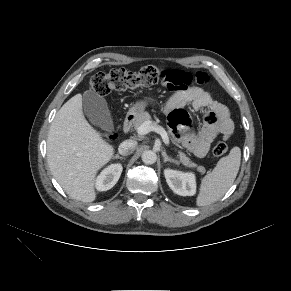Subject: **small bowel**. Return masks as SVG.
<instances>
[{"label":"small bowel","mask_w":291,"mask_h":291,"mask_svg":"<svg viewBox=\"0 0 291 291\" xmlns=\"http://www.w3.org/2000/svg\"><path fill=\"white\" fill-rule=\"evenodd\" d=\"M171 72L187 76L191 80L187 73L179 70ZM187 105L195 110H207L204 124L197 133L190 128L191 122L185 110ZM164 110L168 114L169 125L174 134L181 139L185 148L198 157H203L208 152L211 143L218 136L226 140L234 131L228 107L198 86H186L174 93Z\"/></svg>","instance_id":"small-bowel-1"}]
</instances>
